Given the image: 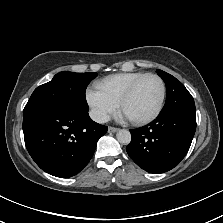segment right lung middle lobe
I'll return each mask as SVG.
<instances>
[{
  "mask_svg": "<svg viewBox=\"0 0 223 223\" xmlns=\"http://www.w3.org/2000/svg\"><path fill=\"white\" fill-rule=\"evenodd\" d=\"M97 76L95 72H60L53 79L37 87L27 102L23 114L41 109H75L88 112L85 91Z\"/></svg>",
  "mask_w": 223,
  "mask_h": 223,
  "instance_id": "dd1d6c3e",
  "label": "right lung middle lobe"
}]
</instances>
